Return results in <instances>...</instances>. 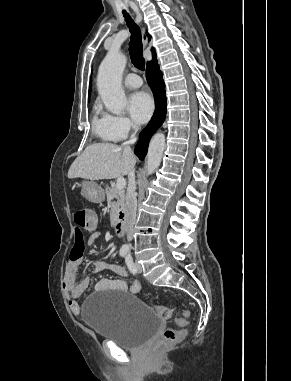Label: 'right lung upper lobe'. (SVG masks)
Listing matches in <instances>:
<instances>
[{
  "instance_id": "right-lung-upper-lobe-1",
  "label": "right lung upper lobe",
  "mask_w": 291,
  "mask_h": 381,
  "mask_svg": "<svg viewBox=\"0 0 291 381\" xmlns=\"http://www.w3.org/2000/svg\"><path fill=\"white\" fill-rule=\"evenodd\" d=\"M147 36L149 37V40H150V35L148 33H147ZM152 51H153V61H154V60H156V54H155L154 49H152Z\"/></svg>"
}]
</instances>
